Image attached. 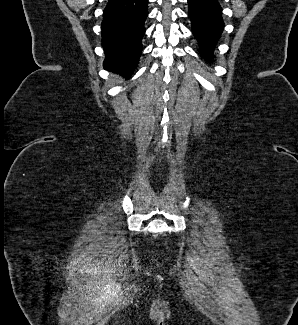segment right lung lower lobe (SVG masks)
<instances>
[{
    "instance_id": "1",
    "label": "right lung lower lobe",
    "mask_w": 298,
    "mask_h": 325,
    "mask_svg": "<svg viewBox=\"0 0 298 325\" xmlns=\"http://www.w3.org/2000/svg\"><path fill=\"white\" fill-rule=\"evenodd\" d=\"M148 0H108L102 21L105 68L130 74L142 51Z\"/></svg>"
}]
</instances>
